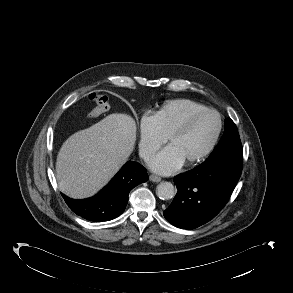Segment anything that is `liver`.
<instances>
[{"label": "liver", "instance_id": "6515ba94", "mask_svg": "<svg viewBox=\"0 0 293 293\" xmlns=\"http://www.w3.org/2000/svg\"><path fill=\"white\" fill-rule=\"evenodd\" d=\"M136 124L127 114H110L71 135L56 162L59 189L75 199L97 193L118 172L134 149Z\"/></svg>", "mask_w": 293, "mask_h": 293}]
</instances>
